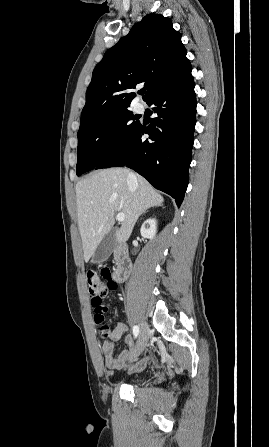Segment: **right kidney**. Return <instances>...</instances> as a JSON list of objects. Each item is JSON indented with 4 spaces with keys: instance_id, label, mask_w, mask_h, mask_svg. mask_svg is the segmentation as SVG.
<instances>
[{
    "instance_id": "ca27d5eb",
    "label": "right kidney",
    "mask_w": 269,
    "mask_h": 447,
    "mask_svg": "<svg viewBox=\"0 0 269 447\" xmlns=\"http://www.w3.org/2000/svg\"><path fill=\"white\" fill-rule=\"evenodd\" d=\"M157 231V220L155 218H149L144 224L141 225L140 233L142 237H148V239H153Z\"/></svg>"
}]
</instances>
